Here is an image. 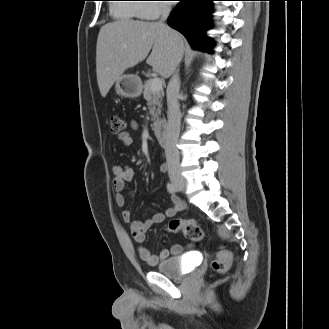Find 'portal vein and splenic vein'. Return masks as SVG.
Wrapping results in <instances>:
<instances>
[{
	"label": "portal vein and splenic vein",
	"instance_id": "18ae733b",
	"mask_svg": "<svg viewBox=\"0 0 329 329\" xmlns=\"http://www.w3.org/2000/svg\"><path fill=\"white\" fill-rule=\"evenodd\" d=\"M151 89L152 91H159L162 89V80L158 77L151 79Z\"/></svg>",
	"mask_w": 329,
	"mask_h": 329
}]
</instances>
